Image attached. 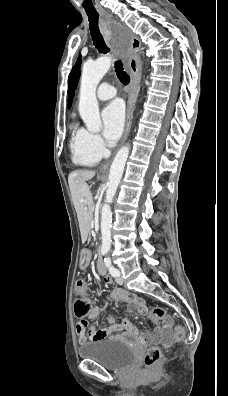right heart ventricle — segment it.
Returning <instances> with one entry per match:
<instances>
[{
    "mask_svg": "<svg viewBox=\"0 0 228 396\" xmlns=\"http://www.w3.org/2000/svg\"><path fill=\"white\" fill-rule=\"evenodd\" d=\"M70 146L73 153V160L79 165L94 166L100 160V158H98L87 148L84 138L81 134V129L74 132Z\"/></svg>",
    "mask_w": 228,
    "mask_h": 396,
    "instance_id": "e07e8e85",
    "label": "right heart ventricle"
}]
</instances>
